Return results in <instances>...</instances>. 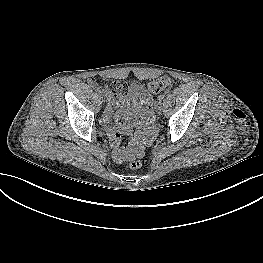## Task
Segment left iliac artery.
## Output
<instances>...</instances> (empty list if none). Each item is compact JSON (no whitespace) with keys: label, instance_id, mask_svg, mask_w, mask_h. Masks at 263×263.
Instances as JSON below:
<instances>
[{"label":"left iliac artery","instance_id":"left-iliac-artery-1","mask_svg":"<svg viewBox=\"0 0 263 263\" xmlns=\"http://www.w3.org/2000/svg\"><path fill=\"white\" fill-rule=\"evenodd\" d=\"M159 96L165 97V92H159Z\"/></svg>","mask_w":263,"mask_h":263}]
</instances>
